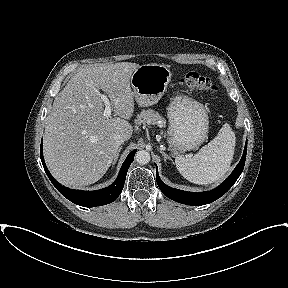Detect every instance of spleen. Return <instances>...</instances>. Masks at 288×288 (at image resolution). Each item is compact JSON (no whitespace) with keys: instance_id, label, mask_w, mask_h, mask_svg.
Wrapping results in <instances>:
<instances>
[{"instance_id":"1","label":"spleen","mask_w":288,"mask_h":288,"mask_svg":"<svg viewBox=\"0 0 288 288\" xmlns=\"http://www.w3.org/2000/svg\"><path fill=\"white\" fill-rule=\"evenodd\" d=\"M235 133L225 123L218 135L202 147L193 157L178 156L175 165L188 181L206 185L221 179L230 168L233 159Z\"/></svg>"}]
</instances>
